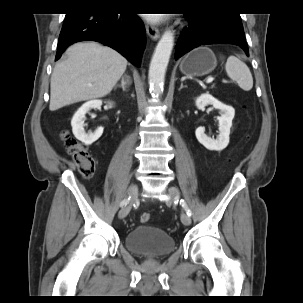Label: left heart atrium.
Here are the masks:
<instances>
[{
	"label": "left heart atrium",
	"instance_id": "left-heart-atrium-1",
	"mask_svg": "<svg viewBox=\"0 0 303 303\" xmlns=\"http://www.w3.org/2000/svg\"><path fill=\"white\" fill-rule=\"evenodd\" d=\"M149 17H150V18H156V16H153V15H152V16H149Z\"/></svg>",
	"mask_w": 303,
	"mask_h": 303
}]
</instances>
